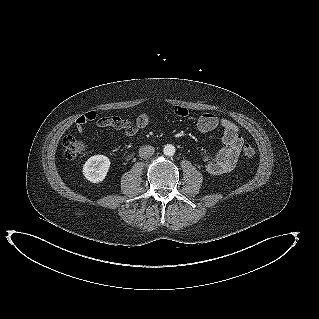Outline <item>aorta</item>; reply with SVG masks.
<instances>
[{"mask_svg":"<svg viewBox=\"0 0 319 319\" xmlns=\"http://www.w3.org/2000/svg\"><path fill=\"white\" fill-rule=\"evenodd\" d=\"M163 153L166 156H173L175 154V147L171 144H167L163 149Z\"/></svg>","mask_w":319,"mask_h":319,"instance_id":"obj_1","label":"aorta"}]
</instances>
